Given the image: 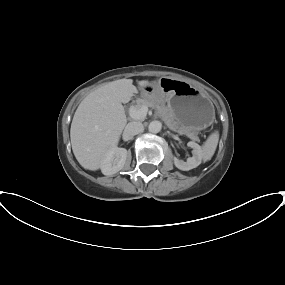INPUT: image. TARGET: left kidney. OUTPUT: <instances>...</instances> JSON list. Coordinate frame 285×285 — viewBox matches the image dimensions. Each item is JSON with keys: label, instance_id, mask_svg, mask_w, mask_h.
Here are the masks:
<instances>
[{"label": "left kidney", "instance_id": "1", "mask_svg": "<svg viewBox=\"0 0 285 285\" xmlns=\"http://www.w3.org/2000/svg\"><path fill=\"white\" fill-rule=\"evenodd\" d=\"M187 146L193 149V156L188 158L186 162H184L183 160H179L178 158L174 157L173 161L175 166L183 171H188L191 170L193 168H196L197 166H199L201 164L202 161V149L200 147V145H198L195 142H188Z\"/></svg>", "mask_w": 285, "mask_h": 285}]
</instances>
